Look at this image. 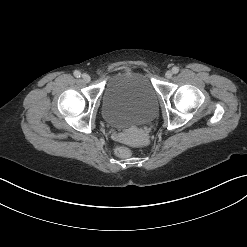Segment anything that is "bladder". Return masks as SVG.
<instances>
[{
	"label": "bladder",
	"instance_id": "1",
	"mask_svg": "<svg viewBox=\"0 0 247 247\" xmlns=\"http://www.w3.org/2000/svg\"><path fill=\"white\" fill-rule=\"evenodd\" d=\"M103 119L118 129L146 125L158 112V93L143 72L112 75L106 82L101 101Z\"/></svg>",
	"mask_w": 247,
	"mask_h": 247
}]
</instances>
